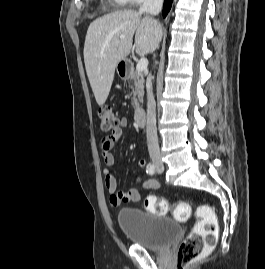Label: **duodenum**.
I'll return each instance as SVG.
<instances>
[{
    "instance_id": "410a0bca",
    "label": "duodenum",
    "mask_w": 265,
    "mask_h": 269,
    "mask_svg": "<svg viewBox=\"0 0 265 269\" xmlns=\"http://www.w3.org/2000/svg\"><path fill=\"white\" fill-rule=\"evenodd\" d=\"M131 69L129 66L123 64L121 67V74L123 77L129 76ZM146 119V111L143 108H139L134 113V120L138 125H144Z\"/></svg>"
}]
</instances>
